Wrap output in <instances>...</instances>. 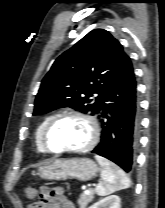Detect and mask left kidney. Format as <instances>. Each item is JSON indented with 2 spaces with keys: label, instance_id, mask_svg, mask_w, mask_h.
<instances>
[{
  "label": "left kidney",
  "instance_id": "obj_1",
  "mask_svg": "<svg viewBox=\"0 0 165 208\" xmlns=\"http://www.w3.org/2000/svg\"><path fill=\"white\" fill-rule=\"evenodd\" d=\"M89 208H121L120 198L117 195H110L94 203Z\"/></svg>",
  "mask_w": 165,
  "mask_h": 208
}]
</instances>
